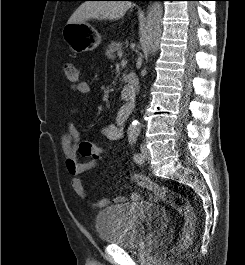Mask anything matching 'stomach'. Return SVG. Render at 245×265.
I'll use <instances>...</instances> for the list:
<instances>
[{
  "instance_id": "0dacf381",
  "label": "stomach",
  "mask_w": 245,
  "mask_h": 265,
  "mask_svg": "<svg viewBox=\"0 0 245 265\" xmlns=\"http://www.w3.org/2000/svg\"><path fill=\"white\" fill-rule=\"evenodd\" d=\"M62 36L74 53L92 51L101 43L98 31L86 22L67 23L62 30Z\"/></svg>"
}]
</instances>
